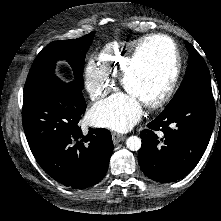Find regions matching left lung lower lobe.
I'll list each match as a JSON object with an SVG mask.
<instances>
[{"label": "left lung lower lobe", "mask_w": 221, "mask_h": 221, "mask_svg": "<svg viewBox=\"0 0 221 221\" xmlns=\"http://www.w3.org/2000/svg\"><path fill=\"white\" fill-rule=\"evenodd\" d=\"M214 123L212 95L194 93L165 109L141 133L139 164L144 174L162 183L186 176L203 156Z\"/></svg>", "instance_id": "left-lung-lower-lobe-1"}]
</instances>
